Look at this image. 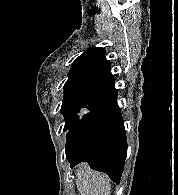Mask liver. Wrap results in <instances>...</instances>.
<instances>
[{"label":"liver","mask_w":178,"mask_h":195,"mask_svg":"<svg viewBox=\"0 0 178 195\" xmlns=\"http://www.w3.org/2000/svg\"><path fill=\"white\" fill-rule=\"evenodd\" d=\"M76 185L80 195H110L111 183L107 175L92 170L86 163L76 171Z\"/></svg>","instance_id":"6515ba94"}]
</instances>
